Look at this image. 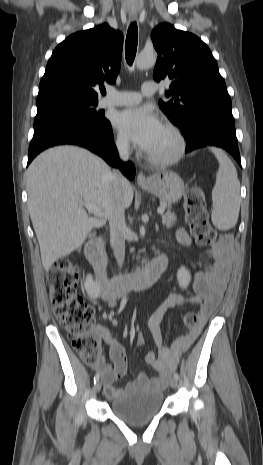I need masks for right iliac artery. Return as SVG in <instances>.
I'll use <instances>...</instances> for the list:
<instances>
[{"label":"right iliac artery","instance_id":"1","mask_svg":"<svg viewBox=\"0 0 263 465\" xmlns=\"http://www.w3.org/2000/svg\"><path fill=\"white\" fill-rule=\"evenodd\" d=\"M99 378H100V375L97 373L95 376H94V384L97 383L99 381Z\"/></svg>","mask_w":263,"mask_h":465}]
</instances>
